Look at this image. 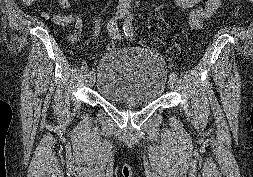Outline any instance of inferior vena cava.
<instances>
[{"label": "inferior vena cava", "mask_w": 253, "mask_h": 177, "mask_svg": "<svg viewBox=\"0 0 253 177\" xmlns=\"http://www.w3.org/2000/svg\"><path fill=\"white\" fill-rule=\"evenodd\" d=\"M131 0H119V6H129Z\"/></svg>", "instance_id": "602c4592"}]
</instances>
